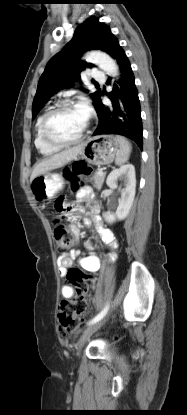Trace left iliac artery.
Returning <instances> with one entry per match:
<instances>
[{"instance_id": "left-iliac-artery-1", "label": "left iliac artery", "mask_w": 187, "mask_h": 415, "mask_svg": "<svg viewBox=\"0 0 187 415\" xmlns=\"http://www.w3.org/2000/svg\"><path fill=\"white\" fill-rule=\"evenodd\" d=\"M108 309H109V304H107L104 307V309L98 315H96L91 321H89V324H92V323H95V322L101 320L106 315V313L108 312Z\"/></svg>"}]
</instances>
